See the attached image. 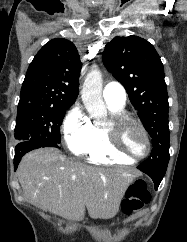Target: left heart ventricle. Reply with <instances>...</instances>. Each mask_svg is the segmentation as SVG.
I'll list each match as a JSON object with an SVG mask.
<instances>
[{
    "mask_svg": "<svg viewBox=\"0 0 187 242\" xmlns=\"http://www.w3.org/2000/svg\"><path fill=\"white\" fill-rule=\"evenodd\" d=\"M122 145L124 149L134 155L139 156L146 151V141L141 131L135 126H126L122 131Z\"/></svg>",
    "mask_w": 187,
    "mask_h": 242,
    "instance_id": "left-heart-ventricle-1",
    "label": "left heart ventricle"
}]
</instances>
